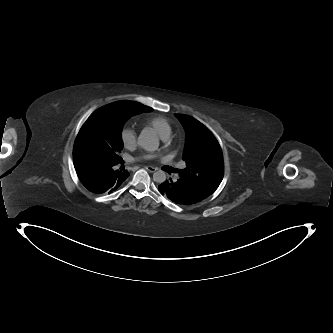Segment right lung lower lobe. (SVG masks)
Listing matches in <instances>:
<instances>
[{
    "mask_svg": "<svg viewBox=\"0 0 333 333\" xmlns=\"http://www.w3.org/2000/svg\"><path fill=\"white\" fill-rule=\"evenodd\" d=\"M119 163L95 165L90 162L74 160V167L79 180L90 192L110 194L118 190L129 176L127 170L115 169V166Z\"/></svg>",
    "mask_w": 333,
    "mask_h": 333,
    "instance_id": "obj_1",
    "label": "right lung lower lobe"
}]
</instances>
